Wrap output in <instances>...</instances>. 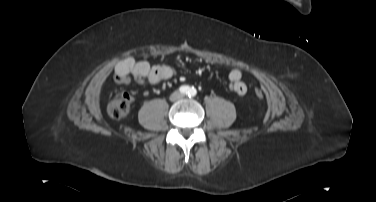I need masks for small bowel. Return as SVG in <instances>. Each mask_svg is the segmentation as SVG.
I'll list each match as a JSON object with an SVG mask.
<instances>
[{"instance_id":"1","label":"small bowel","mask_w":376,"mask_h":202,"mask_svg":"<svg viewBox=\"0 0 376 202\" xmlns=\"http://www.w3.org/2000/svg\"><path fill=\"white\" fill-rule=\"evenodd\" d=\"M215 64L224 65L225 61L214 60ZM177 75L176 71L168 65H151L147 60L125 58L120 60L114 69L113 79L117 84L128 85L136 82L139 85L149 83L156 85L164 80ZM231 89L238 95L247 92L246 85L242 82V71L235 67L227 75Z\"/></svg>"}]
</instances>
